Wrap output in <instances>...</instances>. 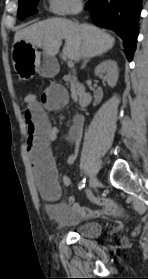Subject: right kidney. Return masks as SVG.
Masks as SVG:
<instances>
[{"label":"right kidney","mask_w":148,"mask_h":279,"mask_svg":"<svg viewBox=\"0 0 148 279\" xmlns=\"http://www.w3.org/2000/svg\"><path fill=\"white\" fill-rule=\"evenodd\" d=\"M95 75H97L103 80H106L110 87L112 88L115 87L119 76V71H118V66L116 61L114 60L103 61L95 68Z\"/></svg>","instance_id":"ca27d5eb"}]
</instances>
